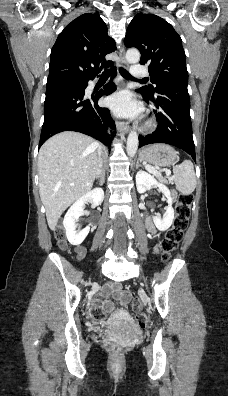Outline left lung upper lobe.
Wrapping results in <instances>:
<instances>
[{"label": "left lung upper lobe", "mask_w": 228, "mask_h": 396, "mask_svg": "<svg viewBox=\"0 0 228 396\" xmlns=\"http://www.w3.org/2000/svg\"><path fill=\"white\" fill-rule=\"evenodd\" d=\"M124 44L137 48L141 53L140 64L149 67L155 87L140 88L142 93L154 96L167 85L187 86L188 72L182 40L164 19L154 14H137L127 28Z\"/></svg>", "instance_id": "1"}]
</instances>
